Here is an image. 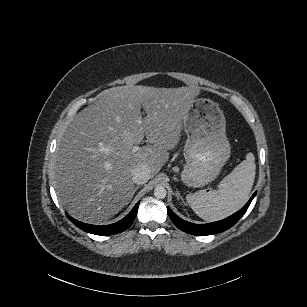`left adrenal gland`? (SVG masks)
<instances>
[{"instance_id": "a2214340", "label": "left adrenal gland", "mask_w": 307, "mask_h": 307, "mask_svg": "<svg viewBox=\"0 0 307 307\" xmlns=\"http://www.w3.org/2000/svg\"><path fill=\"white\" fill-rule=\"evenodd\" d=\"M175 193H176L177 195H179V197L181 198L182 202H183L184 204H186L185 201H184V199H183L182 196L180 195L178 189H175Z\"/></svg>"}]
</instances>
